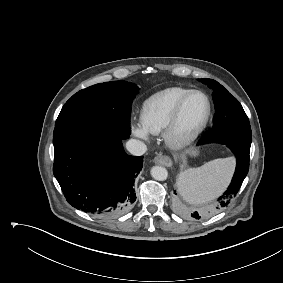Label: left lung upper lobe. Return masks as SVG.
Masks as SVG:
<instances>
[{"label": "left lung upper lobe", "mask_w": 283, "mask_h": 283, "mask_svg": "<svg viewBox=\"0 0 283 283\" xmlns=\"http://www.w3.org/2000/svg\"><path fill=\"white\" fill-rule=\"evenodd\" d=\"M213 89L215 104L213 127L205 134L210 142L250 147L252 133L249 119L238 100L212 79H199Z\"/></svg>", "instance_id": "5c2ea615"}]
</instances>
